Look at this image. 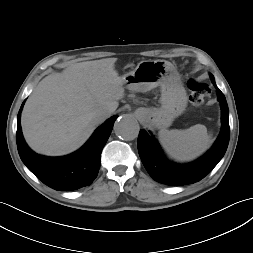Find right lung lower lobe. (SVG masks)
<instances>
[{"mask_svg": "<svg viewBox=\"0 0 253 253\" xmlns=\"http://www.w3.org/2000/svg\"><path fill=\"white\" fill-rule=\"evenodd\" d=\"M24 102L18 113L16 133L23 163L39 180L55 190L71 191L90 185L98 175L102 149L118 116L111 117L98 127L78 151L63 157H46L34 153L24 141L20 123Z\"/></svg>", "mask_w": 253, "mask_h": 253, "instance_id": "right-lung-lower-lobe-1", "label": "right lung lower lobe"}]
</instances>
